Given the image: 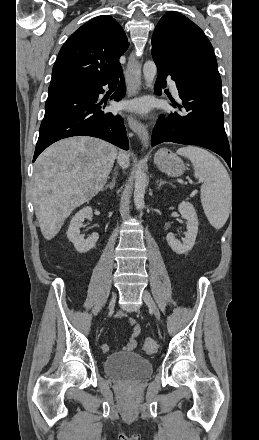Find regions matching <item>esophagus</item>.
<instances>
[{
	"mask_svg": "<svg viewBox=\"0 0 259 440\" xmlns=\"http://www.w3.org/2000/svg\"><path fill=\"white\" fill-rule=\"evenodd\" d=\"M128 70V98H130L138 95L142 87L141 62L134 52L130 54ZM127 121L130 129L138 135L141 143L147 147L149 144V136L144 124L131 114L127 115Z\"/></svg>",
	"mask_w": 259,
	"mask_h": 440,
	"instance_id": "34e87169",
	"label": "esophagus"
}]
</instances>
